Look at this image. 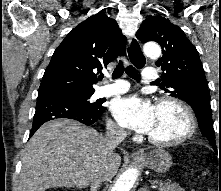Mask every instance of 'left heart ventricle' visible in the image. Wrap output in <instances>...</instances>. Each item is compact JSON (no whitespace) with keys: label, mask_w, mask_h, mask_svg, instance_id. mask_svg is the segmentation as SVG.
I'll return each instance as SVG.
<instances>
[{"label":"left heart ventricle","mask_w":221,"mask_h":191,"mask_svg":"<svg viewBox=\"0 0 221 191\" xmlns=\"http://www.w3.org/2000/svg\"><path fill=\"white\" fill-rule=\"evenodd\" d=\"M186 128V119L177 107L166 104L157 108L155 124L149 135L157 139H173L180 136Z\"/></svg>","instance_id":"1"}]
</instances>
